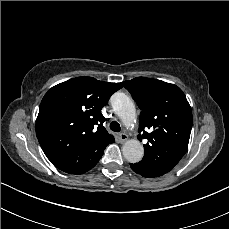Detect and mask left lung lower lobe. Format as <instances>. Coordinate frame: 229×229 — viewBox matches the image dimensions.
Returning <instances> with one entry per match:
<instances>
[{
  "label": "left lung lower lobe",
  "instance_id": "obj_1",
  "mask_svg": "<svg viewBox=\"0 0 229 229\" xmlns=\"http://www.w3.org/2000/svg\"><path fill=\"white\" fill-rule=\"evenodd\" d=\"M130 166H131V168H132V170H133L134 172H136L137 174H140V175L143 176V177H155V176H153V174H152L149 170H147V169L141 167V166H140L139 164H137V163H135V164H130Z\"/></svg>",
  "mask_w": 229,
  "mask_h": 229
}]
</instances>
